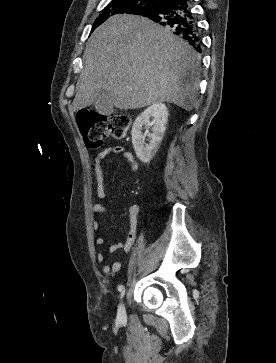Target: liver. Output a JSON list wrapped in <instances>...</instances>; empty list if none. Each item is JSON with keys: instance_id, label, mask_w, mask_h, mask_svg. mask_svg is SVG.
<instances>
[{"instance_id": "6515ba94", "label": "liver", "mask_w": 276, "mask_h": 363, "mask_svg": "<svg viewBox=\"0 0 276 363\" xmlns=\"http://www.w3.org/2000/svg\"><path fill=\"white\" fill-rule=\"evenodd\" d=\"M83 58L74 111L90 106L101 91L121 110L162 102L186 110L194 105L200 75L196 52L147 18L111 17L88 39Z\"/></svg>"}]
</instances>
